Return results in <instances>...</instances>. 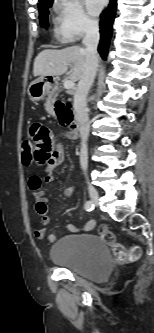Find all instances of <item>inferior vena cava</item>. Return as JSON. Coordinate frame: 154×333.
Returning a JSON list of instances; mask_svg holds the SVG:
<instances>
[{"label":"inferior vena cava","instance_id":"1","mask_svg":"<svg viewBox=\"0 0 154 333\" xmlns=\"http://www.w3.org/2000/svg\"><path fill=\"white\" fill-rule=\"evenodd\" d=\"M99 39L100 35L97 22L87 21L85 23V37L82 41L86 51L85 70L74 94V111L81 136L80 165L84 172L87 171L88 166L87 140L90 131L86 97L94 82L98 68L97 46Z\"/></svg>","mask_w":154,"mask_h":333}]
</instances>
